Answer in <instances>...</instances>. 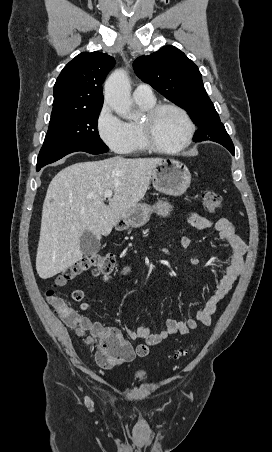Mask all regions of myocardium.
<instances>
[{
	"instance_id": "obj_1",
	"label": "myocardium",
	"mask_w": 272,
	"mask_h": 452,
	"mask_svg": "<svg viewBox=\"0 0 272 452\" xmlns=\"http://www.w3.org/2000/svg\"><path fill=\"white\" fill-rule=\"evenodd\" d=\"M165 109H171L176 112H178L184 119L186 124V134L183 138V140L176 146L173 147H167L162 146L158 144L153 136H152V122L154 118ZM140 131L143 138V141L148 149H151L156 152L160 153H167V154H174L177 152L182 151L185 149L192 141L194 133H195V126L194 123L187 113V111L182 108L181 106L174 104V103H161L156 104L153 107L149 108L145 111V117L140 122Z\"/></svg>"
}]
</instances>
